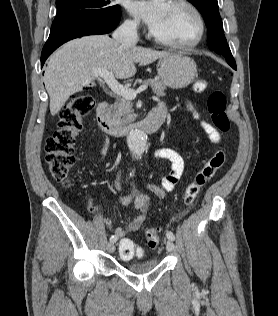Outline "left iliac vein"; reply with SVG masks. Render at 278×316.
Listing matches in <instances>:
<instances>
[{"mask_svg":"<svg viewBox=\"0 0 278 316\" xmlns=\"http://www.w3.org/2000/svg\"><path fill=\"white\" fill-rule=\"evenodd\" d=\"M166 249L168 252L172 253L175 251V245L171 240H168L166 243Z\"/></svg>","mask_w":278,"mask_h":316,"instance_id":"4c4485c4","label":"left iliac vein"}]
</instances>
